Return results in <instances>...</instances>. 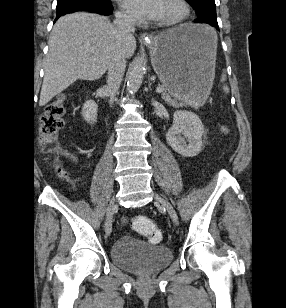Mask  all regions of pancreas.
<instances>
[{
    "mask_svg": "<svg viewBox=\"0 0 286 308\" xmlns=\"http://www.w3.org/2000/svg\"><path fill=\"white\" fill-rule=\"evenodd\" d=\"M162 98L165 99L166 101L172 103V104H174V103L177 102V99L172 100V99L170 98V95L167 94V93H165V92L162 94Z\"/></svg>",
    "mask_w": 286,
    "mask_h": 308,
    "instance_id": "obj_1",
    "label": "pancreas"
}]
</instances>
